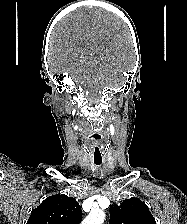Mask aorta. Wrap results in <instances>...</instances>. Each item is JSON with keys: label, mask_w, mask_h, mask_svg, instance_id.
<instances>
[{"label": "aorta", "mask_w": 187, "mask_h": 224, "mask_svg": "<svg viewBox=\"0 0 187 224\" xmlns=\"http://www.w3.org/2000/svg\"><path fill=\"white\" fill-rule=\"evenodd\" d=\"M104 219V211L95 209L89 213V215L83 220L82 224H103Z\"/></svg>", "instance_id": "aorta-1"}]
</instances>
